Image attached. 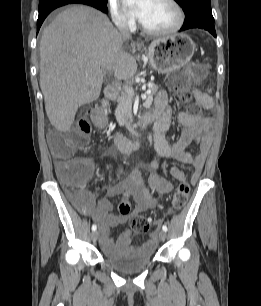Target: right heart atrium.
Here are the masks:
<instances>
[{"label":"right heart atrium","instance_id":"right-heart-atrium-1","mask_svg":"<svg viewBox=\"0 0 261 306\" xmlns=\"http://www.w3.org/2000/svg\"><path fill=\"white\" fill-rule=\"evenodd\" d=\"M109 9L116 25L120 28L132 26V19L122 10L118 0H108Z\"/></svg>","mask_w":261,"mask_h":306}]
</instances>
